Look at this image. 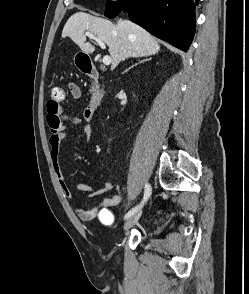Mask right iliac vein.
I'll list each match as a JSON object with an SVG mask.
<instances>
[{
	"label": "right iliac vein",
	"instance_id": "obj_1",
	"mask_svg": "<svg viewBox=\"0 0 249 294\" xmlns=\"http://www.w3.org/2000/svg\"><path fill=\"white\" fill-rule=\"evenodd\" d=\"M141 216V211L133 214L132 216H130L126 222L124 223V230L128 231L130 228H132L139 220Z\"/></svg>",
	"mask_w": 249,
	"mask_h": 294
}]
</instances>
